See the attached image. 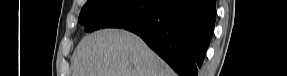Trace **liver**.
I'll return each instance as SVG.
<instances>
[{
  "label": "liver",
  "instance_id": "6515ba94",
  "mask_svg": "<svg viewBox=\"0 0 287 76\" xmlns=\"http://www.w3.org/2000/svg\"><path fill=\"white\" fill-rule=\"evenodd\" d=\"M72 76H176L137 35L104 29L85 36L72 56Z\"/></svg>",
  "mask_w": 287,
  "mask_h": 76
}]
</instances>
